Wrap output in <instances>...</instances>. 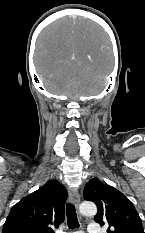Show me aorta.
Wrapping results in <instances>:
<instances>
[{"instance_id":"1","label":"aorta","mask_w":145,"mask_h":233,"mask_svg":"<svg viewBox=\"0 0 145 233\" xmlns=\"http://www.w3.org/2000/svg\"><path fill=\"white\" fill-rule=\"evenodd\" d=\"M79 211L85 216H94L97 213V207L93 202H84L80 205Z\"/></svg>"}]
</instances>
